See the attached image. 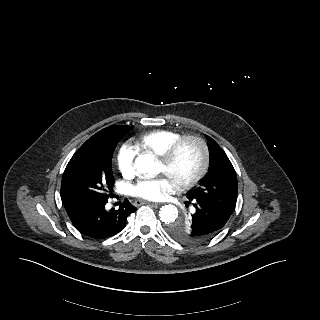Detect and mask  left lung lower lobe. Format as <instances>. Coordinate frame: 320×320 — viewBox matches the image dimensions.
Listing matches in <instances>:
<instances>
[{
    "label": "left lung lower lobe",
    "instance_id": "left-lung-lower-lobe-1",
    "mask_svg": "<svg viewBox=\"0 0 320 320\" xmlns=\"http://www.w3.org/2000/svg\"><path fill=\"white\" fill-rule=\"evenodd\" d=\"M193 214H195L196 230L193 231L195 237L201 241H206L215 236L230 218V214L225 213L216 205H212L204 200H193Z\"/></svg>",
    "mask_w": 320,
    "mask_h": 320
}]
</instances>
